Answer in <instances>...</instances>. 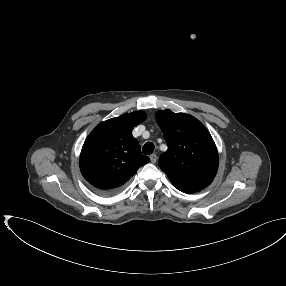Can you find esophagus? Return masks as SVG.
<instances>
[{"label": "esophagus", "mask_w": 286, "mask_h": 286, "mask_svg": "<svg viewBox=\"0 0 286 286\" xmlns=\"http://www.w3.org/2000/svg\"><path fill=\"white\" fill-rule=\"evenodd\" d=\"M150 160L152 163H156L157 162V155L156 154L150 155Z\"/></svg>", "instance_id": "34e87169"}]
</instances>
